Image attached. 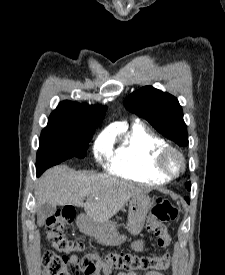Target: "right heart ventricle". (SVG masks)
<instances>
[{
  "label": "right heart ventricle",
  "instance_id": "obj_1",
  "mask_svg": "<svg viewBox=\"0 0 225 275\" xmlns=\"http://www.w3.org/2000/svg\"><path fill=\"white\" fill-rule=\"evenodd\" d=\"M167 145L161 136L135 124L122 135L120 143L110 153L107 170L122 179L144 185L168 182L171 177L156 167V156Z\"/></svg>",
  "mask_w": 225,
  "mask_h": 275
}]
</instances>
